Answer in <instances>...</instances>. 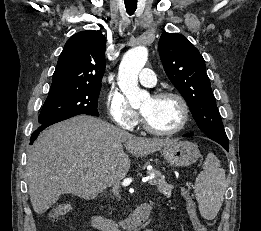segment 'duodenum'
<instances>
[{
	"label": "duodenum",
	"instance_id": "obj_1",
	"mask_svg": "<svg viewBox=\"0 0 261 231\" xmlns=\"http://www.w3.org/2000/svg\"><path fill=\"white\" fill-rule=\"evenodd\" d=\"M150 213L149 203L140 204L132 215L121 223L110 221L102 216L93 218V226L101 231H118L119 227L131 231L143 223Z\"/></svg>",
	"mask_w": 261,
	"mask_h": 231
}]
</instances>
